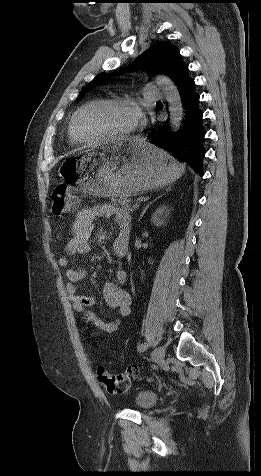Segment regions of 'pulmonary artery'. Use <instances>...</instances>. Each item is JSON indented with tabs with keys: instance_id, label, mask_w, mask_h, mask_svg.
<instances>
[{
	"instance_id": "e3ab8cb5",
	"label": "pulmonary artery",
	"mask_w": 261,
	"mask_h": 476,
	"mask_svg": "<svg viewBox=\"0 0 261 476\" xmlns=\"http://www.w3.org/2000/svg\"><path fill=\"white\" fill-rule=\"evenodd\" d=\"M145 97L150 101H158L163 98L159 88L154 85H147L145 87Z\"/></svg>"
}]
</instances>
